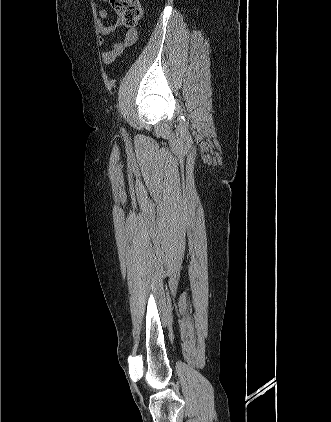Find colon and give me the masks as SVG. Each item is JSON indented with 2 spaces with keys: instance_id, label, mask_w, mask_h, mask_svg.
<instances>
[{
  "instance_id": "1",
  "label": "colon",
  "mask_w": 331,
  "mask_h": 422,
  "mask_svg": "<svg viewBox=\"0 0 331 422\" xmlns=\"http://www.w3.org/2000/svg\"><path fill=\"white\" fill-rule=\"evenodd\" d=\"M113 11L127 27H133L142 17L140 0H108Z\"/></svg>"
}]
</instances>
